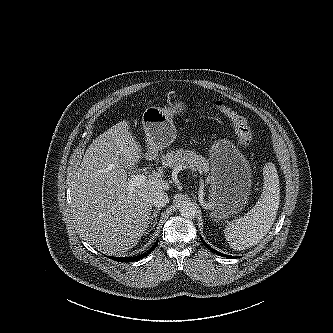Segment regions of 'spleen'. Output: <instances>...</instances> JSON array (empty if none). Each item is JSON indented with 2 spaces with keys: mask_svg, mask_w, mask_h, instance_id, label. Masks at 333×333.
<instances>
[{
  "mask_svg": "<svg viewBox=\"0 0 333 333\" xmlns=\"http://www.w3.org/2000/svg\"><path fill=\"white\" fill-rule=\"evenodd\" d=\"M263 177V192L255 206L224 230L225 238L234 250L241 251L255 246L267 235L276 219L280 203V185L273 163L265 164Z\"/></svg>",
  "mask_w": 333,
  "mask_h": 333,
  "instance_id": "1",
  "label": "spleen"
}]
</instances>
